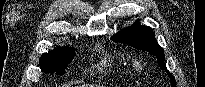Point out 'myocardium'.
Instances as JSON below:
<instances>
[{
    "mask_svg": "<svg viewBox=\"0 0 205 87\" xmlns=\"http://www.w3.org/2000/svg\"><path fill=\"white\" fill-rule=\"evenodd\" d=\"M134 67L138 71L143 70V65H142V63L140 61H134Z\"/></svg>",
    "mask_w": 205,
    "mask_h": 87,
    "instance_id": "obj_1",
    "label": "myocardium"
}]
</instances>
